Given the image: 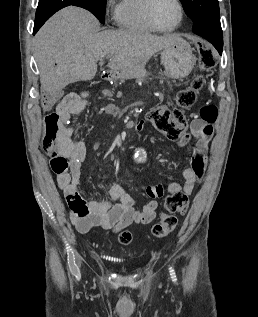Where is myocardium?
Wrapping results in <instances>:
<instances>
[{
  "label": "myocardium",
  "instance_id": "f54148a6",
  "mask_svg": "<svg viewBox=\"0 0 258 317\" xmlns=\"http://www.w3.org/2000/svg\"><path fill=\"white\" fill-rule=\"evenodd\" d=\"M157 0H149L147 5H146V8H145V19L147 21V23L156 31H159V32H171V31H174L182 22V19H183V15H184V10H183V4H182V1L181 0H175L178 4V8H179V17H178V20L177 22L170 28H161L159 27L158 25H156V23L154 22L153 18H152V7L154 5V3L156 2Z\"/></svg>",
  "mask_w": 258,
  "mask_h": 317
}]
</instances>
